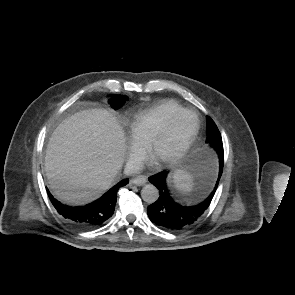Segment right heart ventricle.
Returning <instances> with one entry per match:
<instances>
[{"label": "right heart ventricle", "instance_id": "1", "mask_svg": "<svg viewBox=\"0 0 295 295\" xmlns=\"http://www.w3.org/2000/svg\"><path fill=\"white\" fill-rule=\"evenodd\" d=\"M184 108L175 101L165 100L148 109L140 111L129 122L133 139L144 147L148 146L152 138L163 126Z\"/></svg>", "mask_w": 295, "mask_h": 295}]
</instances>
